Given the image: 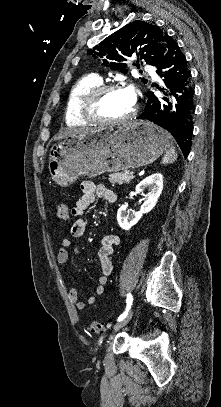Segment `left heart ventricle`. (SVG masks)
Instances as JSON below:
<instances>
[{"label":"left heart ventricle","instance_id":"b2bd125f","mask_svg":"<svg viewBox=\"0 0 221 407\" xmlns=\"http://www.w3.org/2000/svg\"><path fill=\"white\" fill-rule=\"evenodd\" d=\"M134 103L123 89L114 90L106 94L99 110L104 117L115 119L130 113Z\"/></svg>","mask_w":221,"mask_h":407}]
</instances>
